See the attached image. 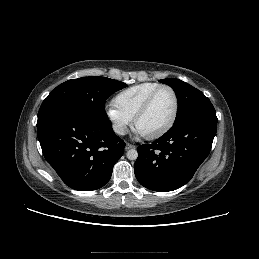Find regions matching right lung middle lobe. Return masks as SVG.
Segmentation results:
<instances>
[{
  "instance_id": "obj_1",
  "label": "right lung middle lobe",
  "mask_w": 259,
  "mask_h": 259,
  "mask_svg": "<svg viewBox=\"0 0 259 259\" xmlns=\"http://www.w3.org/2000/svg\"><path fill=\"white\" fill-rule=\"evenodd\" d=\"M126 86L123 82L100 76L68 80L52 90L42 102L38 120L61 111H74L97 119H108L104 110L107 98Z\"/></svg>"
}]
</instances>
